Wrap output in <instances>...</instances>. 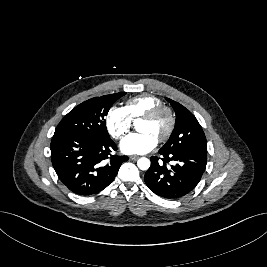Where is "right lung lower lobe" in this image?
I'll list each match as a JSON object with an SVG mask.
<instances>
[{
	"label": "right lung lower lobe",
	"mask_w": 267,
	"mask_h": 267,
	"mask_svg": "<svg viewBox=\"0 0 267 267\" xmlns=\"http://www.w3.org/2000/svg\"><path fill=\"white\" fill-rule=\"evenodd\" d=\"M51 160L60 181L83 196L105 189L115 178L127 156L113 155L116 144L110 137L54 135Z\"/></svg>",
	"instance_id": "right-lung-lower-lobe-1"
}]
</instances>
